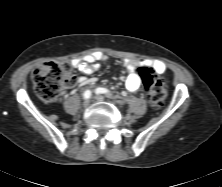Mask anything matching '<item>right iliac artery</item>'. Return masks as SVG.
<instances>
[{
  "mask_svg": "<svg viewBox=\"0 0 222 187\" xmlns=\"http://www.w3.org/2000/svg\"><path fill=\"white\" fill-rule=\"evenodd\" d=\"M90 96H91V91H90V90H86V91L84 92V94H83V97H84L85 99H89Z\"/></svg>",
  "mask_w": 222,
  "mask_h": 187,
  "instance_id": "obj_1",
  "label": "right iliac artery"
}]
</instances>
